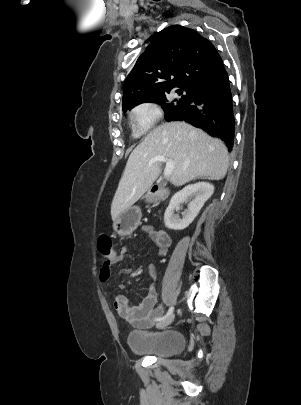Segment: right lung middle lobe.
Masks as SVG:
<instances>
[{
    "instance_id": "right-lung-middle-lobe-1",
    "label": "right lung middle lobe",
    "mask_w": 301,
    "mask_h": 405,
    "mask_svg": "<svg viewBox=\"0 0 301 405\" xmlns=\"http://www.w3.org/2000/svg\"><path fill=\"white\" fill-rule=\"evenodd\" d=\"M183 91H186L187 95L182 96L179 99H175L173 102H169L167 100L166 95H167V93L170 92V91H167V92H163V93H159V94L147 97L141 103L155 102L159 105H162L163 109L165 110V117H167L172 112H174L175 110H177L180 107L187 105L192 100L194 92L190 91V90L180 89V90H177V93L179 95H181ZM123 111L125 112L126 110H123Z\"/></svg>"
}]
</instances>
